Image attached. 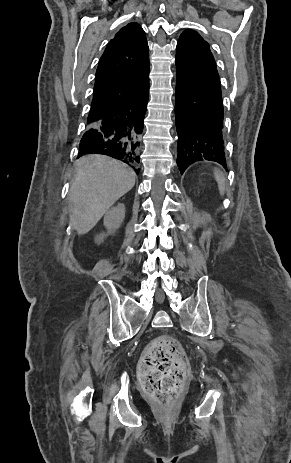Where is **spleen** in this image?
<instances>
[{
  "instance_id": "spleen-1",
  "label": "spleen",
  "mask_w": 291,
  "mask_h": 463,
  "mask_svg": "<svg viewBox=\"0 0 291 463\" xmlns=\"http://www.w3.org/2000/svg\"><path fill=\"white\" fill-rule=\"evenodd\" d=\"M214 176H215V179L218 183V188H219V192L221 195H224L225 193V190H226V180H225V175L223 174L222 171H220L219 169L215 168L214 169Z\"/></svg>"
}]
</instances>
